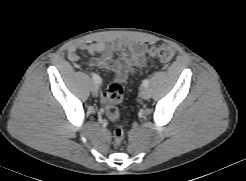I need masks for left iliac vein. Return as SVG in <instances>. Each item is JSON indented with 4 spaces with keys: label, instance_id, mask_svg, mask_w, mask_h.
<instances>
[{
    "label": "left iliac vein",
    "instance_id": "1",
    "mask_svg": "<svg viewBox=\"0 0 246 181\" xmlns=\"http://www.w3.org/2000/svg\"><path fill=\"white\" fill-rule=\"evenodd\" d=\"M140 97L143 99H149L151 96V91L148 87H142L139 93Z\"/></svg>",
    "mask_w": 246,
    "mask_h": 181
}]
</instances>
